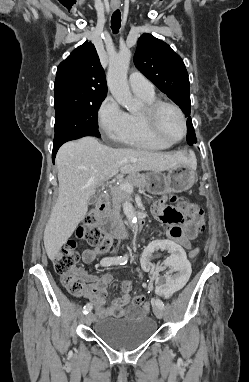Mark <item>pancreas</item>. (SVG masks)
Listing matches in <instances>:
<instances>
[{"label":"pancreas","instance_id":"obj_1","mask_svg":"<svg viewBox=\"0 0 249 382\" xmlns=\"http://www.w3.org/2000/svg\"><path fill=\"white\" fill-rule=\"evenodd\" d=\"M123 183H130L139 189H145L150 185L147 176L138 172L130 173ZM128 199H130V195L127 191L121 189L120 186L113 187L111 190V212L119 214L121 203Z\"/></svg>","mask_w":249,"mask_h":382}]
</instances>
